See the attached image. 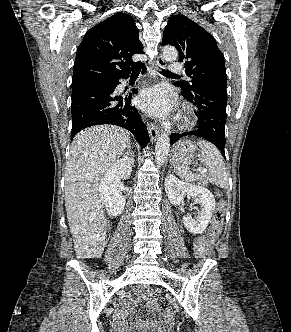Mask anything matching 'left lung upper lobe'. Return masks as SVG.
Segmentation results:
<instances>
[{"mask_svg":"<svg viewBox=\"0 0 291 332\" xmlns=\"http://www.w3.org/2000/svg\"><path fill=\"white\" fill-rule=\"evenodd\" d=\"M163 45H173L179 51V61L185 64L190 82L180 81L182 93L191 94L198 88L226 89L224 56L214 37L184 15L170 17L163 32Z\"/></svg>","mask_w":291,"mask_h":332,"instance_id":"5c2ea615","label":"left lung upper lobe"}]
</instances>
